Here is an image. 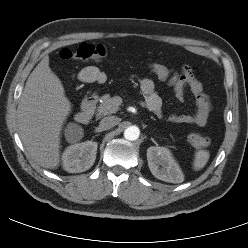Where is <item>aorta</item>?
<instances>
[{
	"mask_svg": "<svg viewBox=\"0 0 248 248\" xmlns=\"http://www.w3.org/2000/svg\"><path fill=\"white\" fill-rule=\"evenodd\" d=\"M140 130L137 126H129L124 131V137L126 140L134 141L139 138Z\"/></svg>",
	"mask_w": 248,
	"mask_h": 248,
	"instance_id": "762f6f07",
	"label": "aorta"
}]
</instances>
